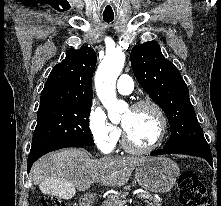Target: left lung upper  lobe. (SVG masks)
Returning <instances> with one entry per match:
<instances>
[{
  "label": "left lung upper lobe",
  "mask_w": 221,
  "mask_h": 206,
  "mask_svg": "<svg viewBox=\"0 0 221 206\" xmlns=\"http://www.w3.org/2000/svg\"><path fill=\"white\" fill-rule=\"evenodd\" d=\"M131 66L141 87L167 116L171 136L164 148L210 149L190 102L188 87L174 64L163 57L159 44L148 41L133 47Z\"/></svg>",
  "instance_id": "1"
}]
</instances>
